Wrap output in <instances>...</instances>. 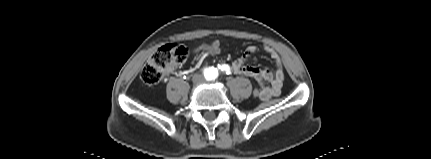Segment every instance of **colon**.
Instances as JSON below:
<instances>
[{
	"instance_id": "1",
	"label": "colon",
	"mask_w": 431,
	"mask_h": 159,
	"mask_svg": "<svg viewBox=\"0 0 431 159\" xmlns=\"http://www.w3.org/2000/svg\"><path fill=\"white\" fill-rule=\"evenodd\" d=\"M224 49L210 48L206 50L208 57L216 55L220 57L224 54ZM189 54L188 49L183 45L168 44L160 47L149 58L140 73L141 81L146 85H154L160 82L164 74L185 62ZM260 88H252L251 95H260Z\"/></svg>"
}]
</instances>
